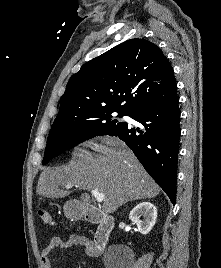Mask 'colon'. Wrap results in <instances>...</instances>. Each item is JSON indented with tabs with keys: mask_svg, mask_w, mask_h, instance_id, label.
Instances as JSON below:
<instances>
[{
	"mask_svg": "<svg viewBox=\"0 0 221 268\" xmlns=\"http://www.w3.org/2000/svg\"><path fill=\"white\" fill-rule=\"evenodd\" d=\"M38 214H39L40 219L42 220V222L45 225H47V226H49L51 228H53L55 226L53 218H52V216L50 215V213L47 210L42 209V210L39 211Z\"/></svg>",
	"mask_w": 221,
	"mask_h": 268,
	"instance_id": "5ec220e1",
	"label": "colon"
}]
</instances>
